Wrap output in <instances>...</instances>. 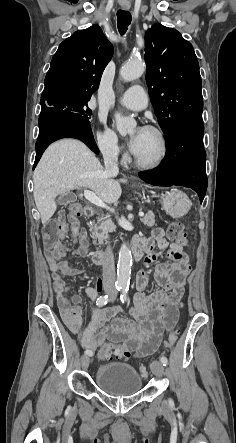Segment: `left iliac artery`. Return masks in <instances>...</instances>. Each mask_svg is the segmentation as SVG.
I'll return each instance as SVG.
<instances>
[{
	"mask_svg": "<svg viewBox=\"0 0 236 443\" xmlns=\"http://www.w3.org/2000/svg\"><path fill=\"white\" fill-rule=\"evenodd\" d=\"M129 290V287L128 286H124L123 288H122V293H121V296H120V299H121V301H122V303H124V301H126V298H127V296H126V294H127V291ZM160 362L164 365V366H166L167 365V363H168V359L166 358V357H161L160 358Z\"/></svg>",
	"mask_w": 236,
	"mask_h": 443,
	"instance_id": "44dca946",
	"label": "left iliac artery"
}]
</instances>
